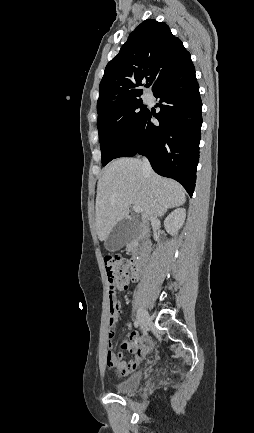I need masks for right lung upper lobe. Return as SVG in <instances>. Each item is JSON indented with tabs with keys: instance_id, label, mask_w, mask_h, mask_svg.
Returning a JSON list of instances; mask_svg holds the SVG:
<instances>
[{
	"instance_id": "cb5924a9",
	"label": "right lung upper lobe",
	"mask_w": 254,
	"mask_h": 433,
	"mask_svg": "<svg viewBox=\"0 0 254 433\" xmlns=\"http://www.w3.org/2000/svg\"><path fill=\"white\" fill-rule=\"evenodd\" d=\"M190 58L181 40L168 25L153 19L143 21L106 66L99 86L97 111L138 100L142 85L153 94Z\"/></svg>"
}]
</instances>
